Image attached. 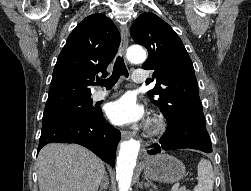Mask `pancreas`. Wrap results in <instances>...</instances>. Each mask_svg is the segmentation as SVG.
I'll list each match as a JSON object with an SVG mask.
<instances>
[{
  "label": "pancreas",
  "mask_w": 251,
  "mask_h": 191,
  "mask_svg": "<svg viewBox=\"0 0 251 191\" xmlns=\"http://www.w3.org/2000/svg\"><path fill=\"white\" fill-rule=\"evenodd\" d=\"M176 191H187V189H185V187H179V189H176Z\"/></svg>",
  "instance_id": "1"
}]
</instances>
